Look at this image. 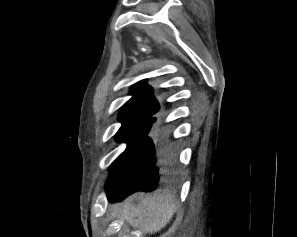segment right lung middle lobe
Instances as JSON below:
<instances>
[{
    "mask_svg": "<svg viewBox=\"0 0 297 237\" xmlns=\"http://www.w3.org/2000/svg\"><path fill=\"white\" fill-rule=\"evenodd\" d=\"M153 122L152 120H137L122 123L121 128L116 134V139L117 141L127 143V148L110 166V177L106 184L107 188H116L119 185L129 157L150 130Z\"/></svg>",
    "mask_w": 297,
    "mask_h": 237,
    "instance_id": "dd1d6c3e",
    "label": "right lung middle lobe"
}]
</instances>
